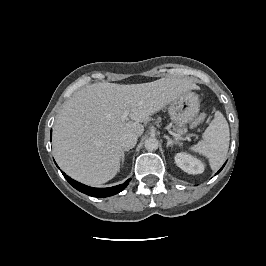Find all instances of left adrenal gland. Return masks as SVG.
<instances>
[{
	"mask_svg": "<svg viewBox=\"0 0 266 266\" xmlns=\"http://www.w3.org/2000/svg\"><path fill=\"white\" fill-rule=\"evenodd\" d=\"M164 138L167 139V148H168V147H173V145H177V144H179L178 141H174V140H172V139H171L169 136H167V135H164Z\"/></svg>",
	"mask_w": 266,
	"mask_h": 266,
	"instance_id": "1",
	"label": "left adrenal gland"
}]
</instances>
